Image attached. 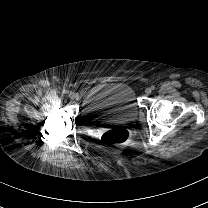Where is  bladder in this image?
Segmentation results:
<instances>
[{"label": "bladder", "mask_w": 208, "mask_h": 208, "mask_svg": "<svg viewBox=\"0 0 208 208\" xmlns=\"http://www.w3.org/2000/svg\"><path fill=\"white\" fill-rule=\"evenodd\" d=\"M89 108L86 120L102 122L106 119H131L137 114V103L132 89L124 84L98 85L86 91Z\"/></svg>", "instance_id": "obj_1"}]
</instances>
